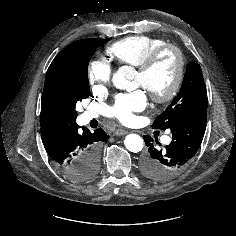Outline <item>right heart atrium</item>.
<instances>
[{"mask_svg":"<svg viewBox=\"0 0 236 236\" xmlns=\"http://www.w3.org/2000/svg\"><path fill=\"white\" fill-rule=\"evenodd\" d=\"M112 76V66L102 58L90 60L87 67V80L96 92L106 89Z\"/></svg>","mask_w":236,"mask_h":236,"instance_id":"1","label":"right heart atrium"}]
</instances>
